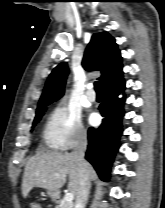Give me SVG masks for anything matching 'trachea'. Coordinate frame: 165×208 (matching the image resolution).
Returning a JSON list of instances; mask_svg holds the SVG:
<instances>
[{
	"instance_id": "trachea-1",
	"label": "trachea",
	"mask_w": 165,
	"mask_h": 208,
	"mask_svg": "<svg viewBox=\"0 0 165 208\" xmlns=\"http://www.w3.org/2000/svg\"><path fill=\"white\" fill-rule=\"evenodd\" d=\"M94 88L96 92H101V85L98 81L94 83Z\"/></svg>"
}]
</instances>
